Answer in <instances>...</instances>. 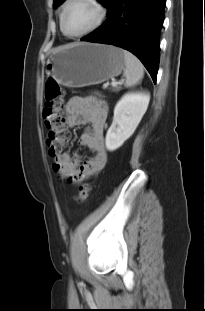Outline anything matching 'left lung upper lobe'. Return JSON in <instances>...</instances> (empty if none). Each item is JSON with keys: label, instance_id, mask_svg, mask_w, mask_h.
Returning a JSON list of instances; mask_svg holds the SVG:
<instances>
[{"label": "left lung upper lobe", "instance_id": "5c2ea615", "mask_svg": "<svg viewBox=\"0 0 205 311\" xmlns=\"http://www.w3.org/2000/svg\"><path fill=\"white\" fill-rule=\"evenodd\" d=\"M64 0H54L53 7H57L60 5ZM103 5L108 8V12L113 5L114 0H99Z\"/></svg>", "mask_w": 205, "mask_h": 311}]
</instances>
